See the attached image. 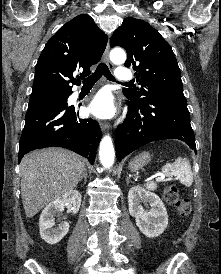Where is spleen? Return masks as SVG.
I'll return each mask as SVG.
<instances>
[{"mask_svg": "<svg viewBox=\"0 0 221 274\" xmlns=\"http://www.w3.org/2000/svg\"><path fill=\"white\" fill-rule=\"evenodd\" d=\"M162 173L167 177L176 176L181 184L190 187L193 184V173L189 160L178 157L173 163H167L162 167ZM149 190H156L157 185L154 182H148L144 185Z\"/></svg>", "mask_w": 221, "mask_h": 274, "instance_id": "spleen-1", "label": "spleen"}]
</instances>
